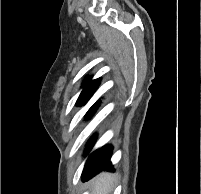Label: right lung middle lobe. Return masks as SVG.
<instances>
[{
	"mask_svg": "<svg viewBox=\"0 0 201 194\" xmlns=\"http://www.w3.org/2000/svg\"><path fill=\"white\" fill-rule=\"evenodd\" d=\"M83 103H79V104H77V105H82Z\"/></svg>",
	"mask_w": 201,
	"mask_h": 194,
	"instance_id": "dd1d6c3e",
	"label": "right lung middle lobe"
}]
</instances>
